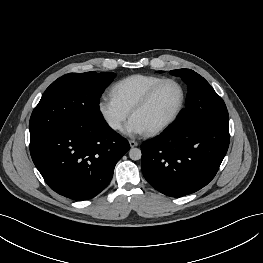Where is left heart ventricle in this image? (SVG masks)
Here are the masks:
<instances>
[{
    "label": "left heart ventricle",
    "instance_id": "1",
    "mask_svg": "<svg viewBox=\"0 0 263 263\" xmlns=\"http://www.w3.org/2000/svg\"><path fill=\"white\" fill-rule=\"evenodd\" d=\"M181 92L174 83L163 84L151 101L132 117L148 131L171 117L180 102Z\"/></svg>",
    "mask_w": 263,
    "mask_h": 263
}]
</instances>
